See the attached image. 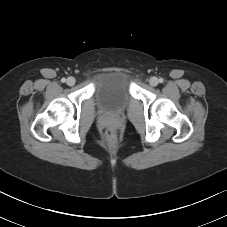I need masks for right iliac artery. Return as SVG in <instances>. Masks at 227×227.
I'll list each match as a JSON object with an SVG mask.
<instances>
[{"instance_id": "1", "label": "right iliac artery", "mask_w": 227, "mask_h": 227, "mask_svg": "<svg viewBox=\"0 0 227 227\" xmlns=\"http://www.w3.org/2000/svg\"><path fill=\"white\" fill-rule=\"evenodd\" d=\"M61 81H62L63 83H65V82H66V79H65V78H62Z\"/></svg>"}]
</instances>
